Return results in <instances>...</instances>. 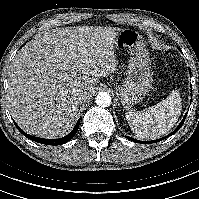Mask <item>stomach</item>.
Returning <instances> with one entry per match:
<instances>
[{"instance_id": "0dacf381", "label": "stomach", "mask_w": 199, "mask_h": 199, "mask_svg": "<svg viewBox=\"0 0 199 199\" xmlns=\"http://www.w3.org/2000/svg\"><path fill=\"white\" fill-rule=\"evenodd\" d=\"M115 46L127 50L130 56L125 81L115 88L122 105L129 110L140 103L151 88V60L142 36L133 29H122Z\"/></svg>"}]
</instances>
